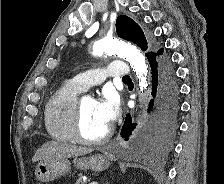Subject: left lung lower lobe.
<instances>
[{
  "instance_id": "0a47b994",
  "label": "left lung lower lobe",
  "mask_w": 224,
  "mask_h": 184,
  "mask_svg": "<svg viewBox=\"0 0 224 184\" xmlns=\"http://www.w3.org/2000/svg\"><path fill=\"white\" fill-rule=\"evenodd\" d=\"M163 52L164 49H159L146 56L152 70V96L156 97L152 121L146 133V146L166 149L177 129L178 87L170 59ZM152 108L153 100L148 110ZM135 127L130 114H127L121 136L128 141Z\"/></svg>"
}]
</instances>
